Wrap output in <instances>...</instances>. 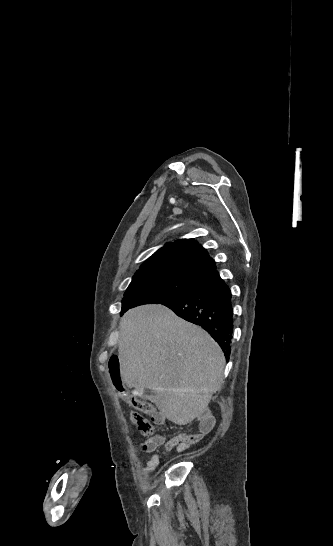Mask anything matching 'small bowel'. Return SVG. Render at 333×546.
I'll return each mask as SVG.
<instances>
[{"label": "small bowel", "mask_w": 333, "mask_h": 546, "mask_svg": "<svg viewBox=\"0 0 333 546\" xmlns=\"http://www.w3.org/2000/svg\"><path fill=\"white\" fill-rule=\"evenodd\" d=\"M152 420L155 423H163L165 418L160 413L155 412L152 415ZM200 425H199V431L196 433H193L189 436L185 435H178L171 439H167L165 435H158L152 438H149L145 440L141 445V450L144 453H153L155 452L160 446H164L165 452H170L173 448H176L177 451H184L186 450L189 445L198 443L203 435L207 433L214 425L212 416H206L202 415L199 419ZM161 459V455L159 453L154 454L150 459L147 460L144 472L150 473L155 470V468L158 466Z\"/></svg>", "instance_id": "small-bowel-1"}]
</instances>
